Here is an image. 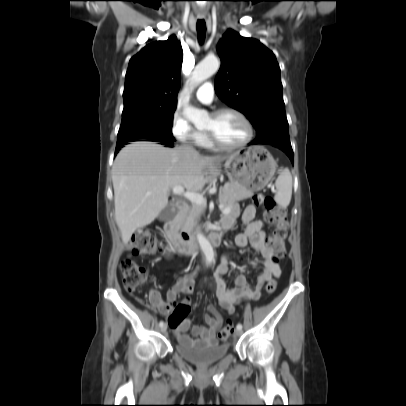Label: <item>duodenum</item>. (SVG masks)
Listing matches in <instances>:
<instances>
[{"instance_id":"duodenum-1","label":"duodenum","mask_w":406,"mask_h":406,"mask_svg":"<svg viewBox=\"0 0 406 406\" xmlns=\"http://www.w3.org/2000/svg\"><path fill=\"white\" fill-rule=\"evenodd\" d=\"M175 207L177 213L180 214L186 210L187 205L183 201H177ZM231 227V223L221 222L220 225L213 229L208 235L209 241L213 245L219 246L222 243L224 231ZM164 230L173 247L180 255L189 256L195 251L196 241L189 234L180 232L178 216L169 218L165 222Z\"/></svg>"}]
</instances>
